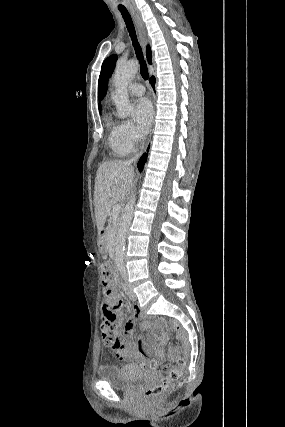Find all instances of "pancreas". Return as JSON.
I'll list each match as a JSON object with an SVG mask.
<instances>
[{"instance_id": "pancreas-1", "label": "pancreas", "mask_w": 285, "mask_h": 427, "mask_svg": "<svg viewBox=\"0 0 285 427\" xmlns=\"http://www.w3.org/2000/svg\"><path fill=\"white\" fill-rule=\"evenodd\" d=\"M116 229H117V222H116V220H114V218H113V216L111 214L110 223H109V226H108L109 239H111L114 236V234L116 232Z\"/></svg>"}]
</instances>
